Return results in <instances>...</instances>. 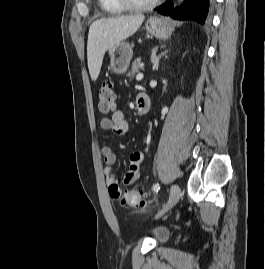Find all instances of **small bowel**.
<instances>
[{"mask_svg":"<svg viewBox=\"0 0 265 269\" xmlns=\"http://www.w3.org/2000/svg\"><path fill=\"white\" fill-rule=\"evenodd\" d=\"M100 128L106 131H111L117 136H123L128 132L129 124L124 117V114L121 110H117L113 113L111 117H103L100 120ZM101 153L104 158L105 167L104 173L106 177L107 184L111 186H118V178L113 173V165L116 162V154L113 152L112 148L108 145H105L101 149ZM145 155L141 151L133 152L130 155V165L129 170L127 171L124 184L130 185L133 184L140 175L141 165L144 161Z\"/></svg>","mask_w":265,"mask_h":269,"instance_id":"obj_1","label":"small bowel"}]
</instances>
